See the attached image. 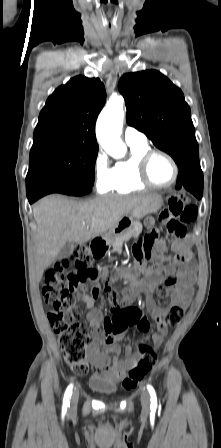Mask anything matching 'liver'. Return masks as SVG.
<instances>
[{"label":"liver","instance_id":"obj_1","mask_svg":"<svg viewBox=\"0 0 221 448\" xmlns=\"http://www.w3.org/2000/svg\"><path fill=\"white\" fill-rule=\"evenodd\" d=\"M152 195L100 196L80 202L60 195L41 199L33 208L37 280L66 243H86L106 233Z\"/></svg>","mask_w":221,"mask_h":448}]
</instances>
